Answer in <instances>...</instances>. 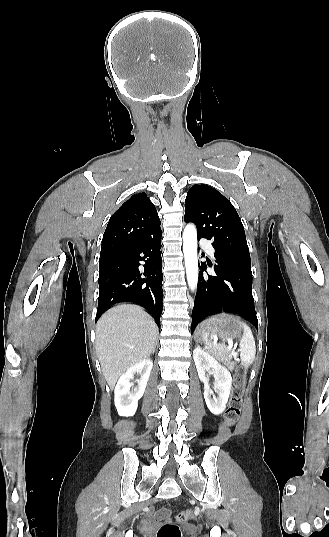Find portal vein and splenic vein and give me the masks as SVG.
Returning <instances> with one entry per match:
<instances>
[{
	"instance_id": "obj_1",
	"label": "portal vein and splenic vein",
	"mask_w": 329,
	"mask_h": 537,
	"mask_svg": "<svg viewBox=\"0 0 329 537\" xmlns=\"http://www.w3.org/2000/svg\"><path fill=\"white\" fill-rule=\"evenodd\" d=\"M232 347H233V343H232V341H229V346H228V349H229V350H231V349H232Z\"/></svg>"
}]
</instances>
